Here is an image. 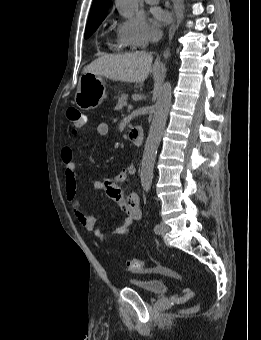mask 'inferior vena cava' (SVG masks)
<instances>
[{"label":"inferior vena cava","mask_w":261,"mask_h":340,"mask_svg":"<svg viewBox=\"0 0 261 340\" xmlns=\"http://www.w3.org/2000/svg\"><path fill=\"white\" fill-rule=\"evenodd\" d=\"M162 37V32L158 31V32H155L152 36V41L153 42H158Z\"/></svg>","instance_id":"inferior-vena-cava-1"}]
</instances>
